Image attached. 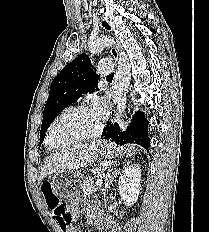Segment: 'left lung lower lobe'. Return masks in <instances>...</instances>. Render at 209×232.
Returning a JSON list of instances; mask_svg holds the SVG:
<instances>
[{
  "mask_svg": "<svg viewBox=\"0 0 209 232\" xmlns=\"http://www.w3.org/2000/svg\"><path fill=\"white\" fill-rule=\"evenodd\" d=\"M101 139H111L117 144L135 143L148 150L150 139L148 137V121L143 112L138 111L132 118L130 127L122 132L118 123L108 124L103 132Z\"/></svg>",
  "mask_w": 209,
  "mask_h": 232,
  "instance_id": "obj_1",
  "label": "left lung lower lobe"
}]
</instances>
